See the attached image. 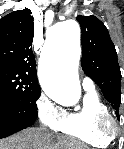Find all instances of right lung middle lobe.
Returning <instances> with one entry per match:
<instances>
[{"label":"right lung middle lobe","mask_w":124,"mask_h":149,"mask_svg":"<svg viewBox=\"0 0 124 149\" xmlns=\"http://www.w3.org/2000/svg\"><path fill=\"white\" fill-rule=\"evenodd\" d=\"M41 94L39 84L27 74L0 66V98L21 102L37 112L36 101Z\"/></svg>","instance_id":"obj_1"}]
</instances>
